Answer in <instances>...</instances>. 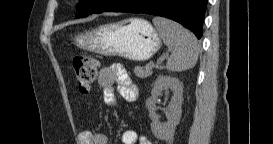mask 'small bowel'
<instances>
[{"mask_svg":"<svg viewBox=\"0 0 273 144\" xmlns=\"http://www.w3.org/2000/svg\"><path fill=\"white\" fill-rule=\"evenodd\" d=\"M98 82L105 92V101L113 105L115 101L114 89L127 102L135 101L138 90L133 84L127 71L120 65L104 67L100 70ZM124 144H151L144 136H138L134 130H126L122 134ZM80 144H107L108 136L102 132L82 131L78 135Z\"/></svg>","mask_w":273,"mask_h":144,"instance_id":"1","label":"small bowel"}]
</instances>
